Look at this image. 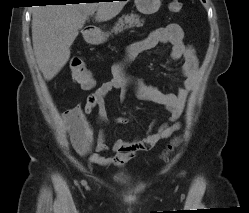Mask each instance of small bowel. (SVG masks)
Returning a JSON list of instances; mask_svg holds the SVG:
<instances>
[{"label": "small bowel", "instance_id": "obj_1", "mask_svg": "<svg viewBox=\"0 0 249 213\" xmlns=\"http://www.w3.org/2000/svg\"><path fill=\"white\" fill-rule=\"evenodd\" d=\"M161 44L171 45L172 59L184 60L183 64L175 69L183 82L174 93L162 92L140 79L128 78L124 73L126 63ZM198 69L199 62L195 50L184 42V32L177 24H168L158 28L142 40L131 44L126 49L123 61L113 68L111 78L89 94L83 106L77 105L65 112L64 117L68 129L77 132V137L71 135L74 149L82 155H88L90 162L101 166H122L135 158L139 152L151 150L159 141L168 139L174 132L182 128L179 118L184 112L188 94L195 86ZM129 87H133L139 98L163 106L170 113L168 120L157 130H154L155 122H152L148 133L143 138L132 140L119 138L113 142L111 147L107 143L106 132L101 131L98 135L95 152L90 153L92 129L86 114L96 109L98 120L106 123V96L113 90H120V98L123 99ZM129 121L130 119L126 117L116 120L118 124H126ZM110 150L114 153L112 157L102 155Z\"/></svg>", "mask_w": 249, "mask_h": 213}]
</instances>
